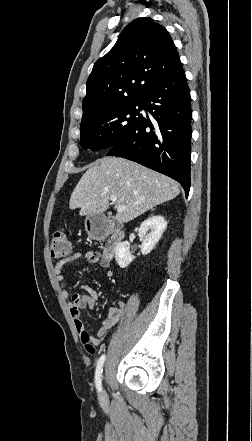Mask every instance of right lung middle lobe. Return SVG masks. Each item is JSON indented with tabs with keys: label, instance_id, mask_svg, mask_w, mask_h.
Masks as SVG:
<instances>
[{
	"label": "right lung middle lobe",
	"instance_id": "dd1d6c3e",
	"mask_svg": "<svg viewBox=\"0 0 252 441\" xmlns=\"http://www.w3.org/2000/svg\"><path fill=\"white\" fill-rule=\"evenodd\" d=\"M142 101L105 110L81 123L80 145L93 151L109 148L127 137L142 118Z\"/></svg>",
	"mask_w": 252,
	"mask_h": 441
}]
</instances>
